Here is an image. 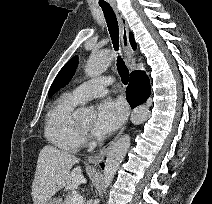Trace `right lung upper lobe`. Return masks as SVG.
Returning <instances> with one entry per match:
<instances>
[{
    "instance_id": "obj_1",
    "label": "right lung upper lobe",
    "mask_w": 212,
    "mask_h": 204,
    "mask_svg": "<svg viewBox=\"0 0 212 204\" xmlns=\"http://www.w3.org/2000/svg\"><path fill=\"white\" fill-rule=\"evenodd\" d=\"M129 39H130V43H131L133 49H136V43L134 41V37H133L132 33H129Z\"/></svg>"
}]
</instances>
